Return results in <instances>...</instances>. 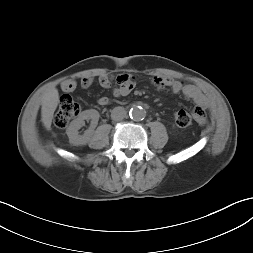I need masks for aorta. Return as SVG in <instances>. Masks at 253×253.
I'll use <instances>...</instances> for the list:
<instances>
[{"mask_svg": "<svg viewBox=\"0 0 253 253\" xmlns=\"http://www.w3.org/2000/svg\"><path fill=\"white\" fill-rule=\"evenodd\" d=\"M130 118L134 121L143 120L146 116V111L141 106H134L129 111Z\"/></svg>", "mask_w": 253, "mask_h": 253, "instance_id": "obj_1", "label": "aorta"}]
</instances>
